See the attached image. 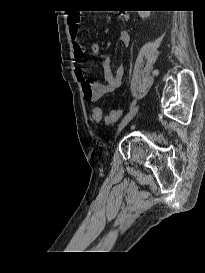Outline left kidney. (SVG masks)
<instances>
[{
    "mask_svg": "<svg viewBox=\"0 0 205 273\" xmlns=\"http://www.w3.org/2000/svg\"><path fill=\"white\" fill-rule=\"evenodd\" d=\"M151 11H138V14L141 18H146L150 16Z\"/></svg>",
    "mask_w": 205,
    "mask_h": 273,
    "instance_id": "left-kidney-1",
    "label": "left kidney"
}]
</instances>
